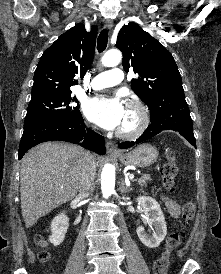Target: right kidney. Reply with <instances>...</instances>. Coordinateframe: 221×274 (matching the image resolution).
I'll list each match as a JSON object with an SVG mask.
<instances>
[{
	"instance_id": "1",
	"label": "right kidney",
	"mask_w": 221,
	"mask_h": 274,
	"mask_svg": "<svg viewBox=\"0 0 221 274\" xmlns=\"http://www.w3.org/2000/svg\"><path fill=\"white\" fill-rule=\"evenodd\" d=\"M68 226H69V219L64 213L59 214L52 220V223H51L52 235L49 237V241L54 246H58L63 242L65 238V234L68 230Z\"/></svg>"
}]
</instances>
